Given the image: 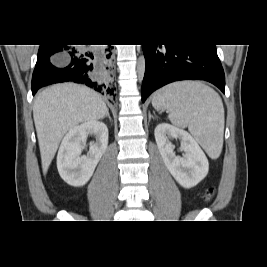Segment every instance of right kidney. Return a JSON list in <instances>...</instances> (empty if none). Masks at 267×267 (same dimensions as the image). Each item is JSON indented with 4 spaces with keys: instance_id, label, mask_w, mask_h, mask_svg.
I'll return each instance as SVG.
<instances>
[{
    "instance_id": "obj_1",
    "label": "right kidney",
    "mask_w": 267,
    "mask_h": 267,
    "mask_svg": "<svg viewBox=\"0 0 267 267\" xmlns=\"http://www.w3.org/2000/svg\"><path fill=\"white\" fill-rule=\"evenodd\" d=\"M88 134L96 135L87 156H81ZM108 146V128L100 121L91 120L69 130L57 155V168L61 178L68 184L85 185Z\"/></svg>"
}]
</instances>
